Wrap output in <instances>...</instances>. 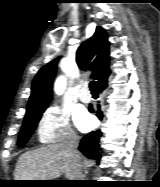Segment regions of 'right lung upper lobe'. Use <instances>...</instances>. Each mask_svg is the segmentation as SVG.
<instances>
[{"mask_svg":"<svg viewBox=\"0 0 160 187\" xmlns=\"http://www.w3.org/2000/svg\"><path fill=\"white\" fill-rule=\"evenodd\" d=\"M108 35L97 26L94 35L83 42L77 50L76 61L82 70H91L97 84L110 74ZM59 58L44 66L35 76L27 113L45 110L52 98V83Z\"/></svg>","mask_w":160,"mask_h":187,"instance_id":"obj_1","label":"right lung upper lobe"}]
</instances>
